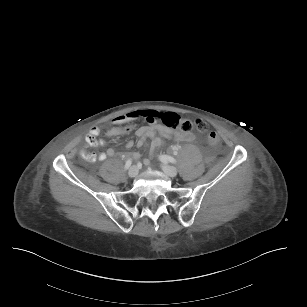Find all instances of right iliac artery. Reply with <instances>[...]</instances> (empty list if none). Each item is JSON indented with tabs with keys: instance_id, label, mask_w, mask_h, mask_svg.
Returning <instances> with one entry per match:
<instances>
[{
	"instance_id": "1",
	"label": "right iliac artery",
	"mask_w": 307,
	"mask_h": 307,
	"mask_svg": "<svg viewBox=\"0 0 307 307\" xmlns=\"http://www.w3.org/2000/svg\"><path fill=\"white\" fill-rule=\"evenodd\" d=\"M131 164H132V160L128 159L125 163L124 169L128 170L131 167Z\"/></svg>"
}]
</instances>
